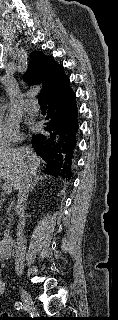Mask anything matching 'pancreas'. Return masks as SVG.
<instances>
[{"label": "pancreas", "instance_id": "1", "mask_svg": "<svg viewBox=\"0 0 118 320\" xmlns=\"http://www.w3.org/2000/svg\"><path fill=\"white\" fill-rule=\"evenodd\" d=\"M8 228H9V225H8ZM5 233H6V234L9 233V229H6V230H5Z\"/></svg>", "mask_w": 118, "mask_h": 320}]
</instances>
